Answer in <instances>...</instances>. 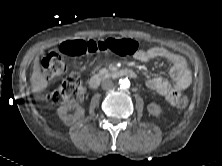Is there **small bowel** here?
Returning a JSON list of instances; mask_svg holds the SVG:
<instances>
[{
    "label": "small bowel",
    "instance_id": "1",
    "mask_svg": "<svg viewBox=\"0 0 222 166\" xmlns=\"http://www.w3.org/2000/svg\"><path fill=\"white\" fill-rule=\"evenodd\" d=\"M135 58L141 62L162 58L170 64V76L174 84L171 85L166 79L161 77H152L148 79L147 87L164 97L170 105H177L181 92L188 88L192 81L191 72L184 58L163 47L140 50L135 53Z\"/></svg>",
    "mask_w": 222,
    "mask_h": 166
}]
</instances>
